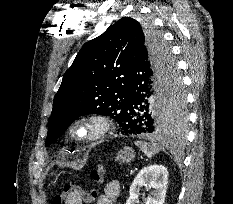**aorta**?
Returning a JSON list of instances; mask_svg holds the SVG:
<instances>
[{"instance_id":"762f6f07","label":"aorta","mask_w":233,"mask_h":204,"mask_svg":"<svg viewBox=\"0 0 233 204\" xmlns=\"http://www.w3.org/2000/svg\"><path fill=\"white\" fill-rule=\"evenodd\" d=\"M153 107H154V109L156 108V109H158L159 107H157L155 104H153Z\"/></svg>"}]
</instances>
